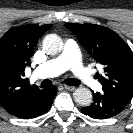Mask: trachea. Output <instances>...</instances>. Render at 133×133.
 <instances>
[{
    "instance_id": "3493384b",
    "label": "trachea",
    "mask_w": 133,
    "mask_h": 133,
    "mask_svg": "<svg viewBox=\"0 0 133 133\" xmlns=\"http://www.w3.org/2000/svg\"><path fill=\"white\" fill-rule=\"evenodd\" d=\"M65 83L71 86H78L80 85V82L74 78H68L65 80ZM52 86V82L48 79H45L42 81L41 83V87L46 88V87H51Z\"/></svg>"
}]
</instances>
